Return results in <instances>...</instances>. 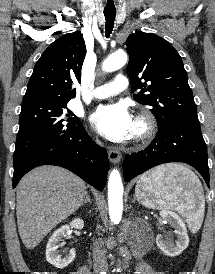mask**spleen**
<instances>
[{
  "mask_svg": "<svg viewBox=\"0 0 215 274\" xmlns=\"http://www.w3.org/2000/svg\"><path fill=\"white\" fill-rule=\"evenodd\" d=\"M136 196L147 207L172 209L192 222L201 219L205 198L199 178L183 165H162L137 181Z\"/></svg>",
  "mask_w": 215,
  "mask_h": 274,
  "instance_id": "spleen-1",
  "label": "spleen"
}]
</instances>
